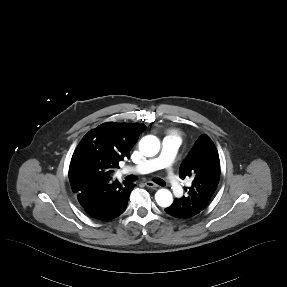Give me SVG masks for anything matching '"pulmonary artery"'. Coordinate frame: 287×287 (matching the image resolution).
Segmentation results:
<instances>
[{
  "label": "pulmonary artery",
  "mask_w": 287,
  "mask_h": 287,
  "mask_svg": "<svg viewBox=\"0 0 287 287\" xmlns=\"http://www.w3.org/2000/svg\"><path fill=\"white\" fill-rule=\"evenodd\" d=\"M179 138L175 133L169 132L162 142V152L158 157L150 158L145 162L133 166L131 168H123L120 170L121 174L134 172L138 174H145L156 169L165 170V179L171 186L172 192L176 197H181L183 188L173 171L172 162L179 147Z\"/></svg>",
  "instance_id": "1"
}]
</instances>
